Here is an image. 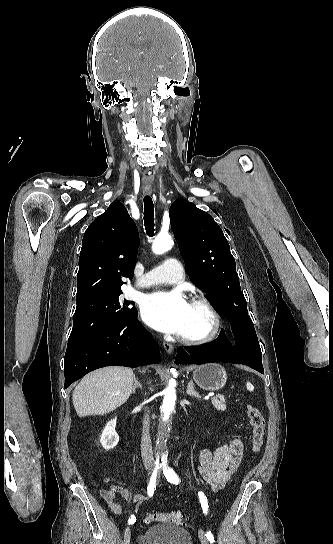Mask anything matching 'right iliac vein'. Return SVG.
Returning <instances> with one entry per match:
<instances>
[{
    "label": "right iliac vein",
    "mask_w": 333,
    "mask_h": 544,
    "mask_svg": "<svg viewBox=\"0 0 333 544\" xmlns=\"http://www.w3.org/2000/svg\"><path fill=\"white\" fill-rule=\"evenodd\" d=\"M130 539H131V530H130V527L128 526L124 532V544H130Z\"/></svg>",
    "instance_id": "right-iliac-vein-1"
}]
</instances>
